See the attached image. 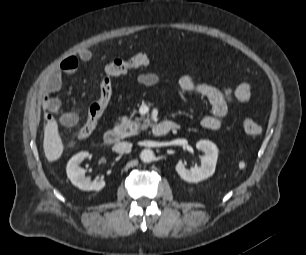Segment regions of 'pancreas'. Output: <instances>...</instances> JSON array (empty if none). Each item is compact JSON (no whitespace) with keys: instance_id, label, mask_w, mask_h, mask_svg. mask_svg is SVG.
I'll use <instances>...</instances> for the list:
<instances>
[{"instance_id":"cf45deb5","label":"pancreas","mask_w":306,"mask_h":255,"mask_svg":"<svg viewBox=\"0 0 306 255\" xmlns=\"http://www.w3.org/2000/svg\"><path fill=\"white\" fill-rule=\"evenodd\" d=\"M149 126V119L145 117H136L134 120L124 116L121 118V123L117 126L121 138L136 135L139 131L145 130Z\"/></svg>"}]
</instances>
